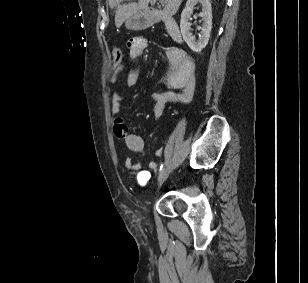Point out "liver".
I'll return each mask as SVG.
<instances>
[{
    "label": "liver",
    "mask_w": 308,
    "mask_h": 283,
    "mask_svg": "<svg viewBox=\"0 0 308 283\" xmlns=\"http://www.w3.org/2000/svg\"><path fill=\"white\" fill-rule=\"evenodd\" d=\"M124 0H108L111 8H116L115 25L119 28L125 20L137 13L145 12L151 0H138V3L121 4ZM183 0H163L165 3L164 12L168 15H174Z\"/></svg>",
    "instance_id": "obj_1"
}]
</instances>
